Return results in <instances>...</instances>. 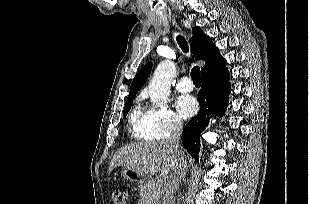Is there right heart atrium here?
I'll use <instances>...</instances> for the list:
<instances>
[{"label": "right heart atrium", "instance_id": "right-heart-atrium-1", "mask_svg": "<svg viewBox=\"0 0 309 204\" xmlns=\"http://www.w3.org/2000/svg\"><path fill=\"white\" fill-rule=\"evenodd\" d=\"M182 128V120L169 106L148 109L146 134L149 139H165L176 135Z\"/></svg>", "mask_w": 309, "mask_h": 204}]
</instances>
